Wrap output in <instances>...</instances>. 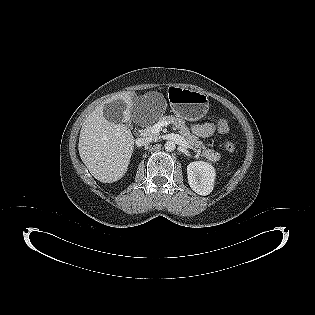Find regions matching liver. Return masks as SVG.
<instances>
[{
	"label": "liver",
	"instance_id": "6515ba94",
	"mask_svg": "<svg viewBox=\"0 0 315 315\" xmlns=\"http://www.w3.org/2000/svg\"><path fill=\"white\" fill-rule=\"evenodd\" d=\"M121 99L126 109L123 122H129L133 100L123 93L97 106L85 119L79 137L78 150L91 175L102 183L121 179L128 170L134 150V137L123 123H114L103 116L105 103Z\"/></svg>",
	"mask_w": 315,
	"mask_h": 315
}]
</instances>
